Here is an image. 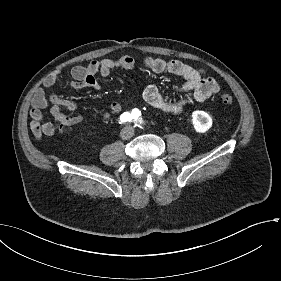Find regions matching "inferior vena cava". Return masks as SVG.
<instances>
[{
	"instance_id": "inferior-vena-cava-1",
	"label": "inferior vena cava",
	"mask_w": 281,
	"mask_h": 281,
	"mask_svg": "<svg viewBox=\"0 0 281 281\" xmlns=\"http://www.w3.org/2000/svg\"><path fill=\"white\" fill-rule=\"evenodd\" d=\"M122 139H129L134 135V129L130 126L124 127L120 133Z\"/></svg>"
}]
</instances>
